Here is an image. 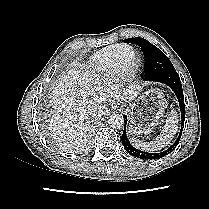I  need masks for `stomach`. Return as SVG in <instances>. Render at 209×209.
<instances>
[{"mask_svg":"<svg viewBox=\"0 0 209 209\" xmlns=\"http://www.w3.org/2000/svg\"><path fill=\"white\" fill-rule=\"evenodd\" d=\"M166 100L159 89H149L126 108L130 134H148L157 126L166 109Z\"/></svg>","mask_w":209,"mask_h":209,"instance_id":"obj_1","label":"stomach"}]
</instances>
